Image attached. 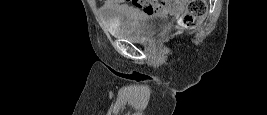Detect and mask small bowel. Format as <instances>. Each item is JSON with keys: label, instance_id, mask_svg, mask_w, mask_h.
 <instances>
[{"label": "small bowel", "instance_id": "obj_1", "mask_svg": "<svg viewBox=\"0 0 267 115\" xmlns=\"http://www.w3.org/2000/svg\"><path fill=\"white\" fill-rule=\"evenodd\" d=\"M137 4L143 7V9L139 10L137 8L130 7L127 4H123L115 0H107L105 2L104 8L106 9L118 8L129 18L135 19L141 13L171 14L174 16H178L184 10L185 7V4L182 1H175V2L166 1L162 3L137 2Z\"/></svg>", "mask_w": 267, "mask_h": 115}]
</instances>
